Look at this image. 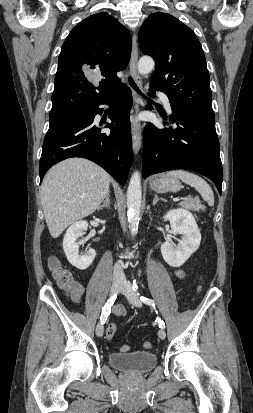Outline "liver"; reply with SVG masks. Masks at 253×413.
I'll use <instances>...</instances> for the list:
<instances>
[{
  "mask_svg": "<svg viewBox=\"0 0 253 413\" xmlns=\"http://www.w3.org/2000/svg\"><path fill=\"white\" fill-rule=\"evenodd\" d=\"M111 177L84 158H69L45 175L41 203L49 232L57 238L72 223L91 215L109 192Z\"/></svg>",
  "mask_w": 253,
  "mask_h": 413,
  "instance_id": "1",
  "label": "liver"
}]
</instances>
